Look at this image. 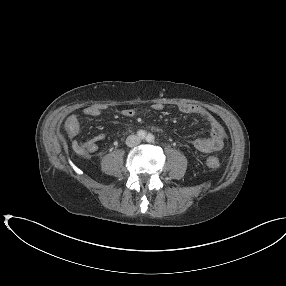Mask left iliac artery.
<instances>
[{"instance_id":"44dca946","label":"left iliac artery","mask_w":286,"mask_h":286,"mask_svg":"<svg viewBox=\"0 0 286 286\" xmlns=\"http://www.w3.org/2000/svg\"><path fill=\"white\" fill-rule=\"evenodd\" d=\"M154 139H155V137L152 134H148L147 137H146V141L149 142V143L153 142Z\"/></svg>"}]
</instances>
